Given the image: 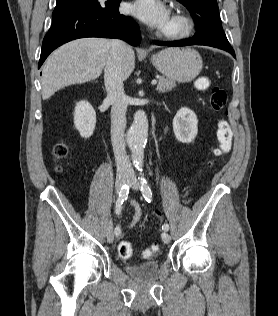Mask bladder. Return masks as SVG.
Masks as SVG:
<instances>
[{
	"instance_id": "bladder-1",
	"label": "bladder",
	"mask_w": 278,
	"mask_h": 316,
	"mask_svg": "<svg viewBox=\"0 0 278 316\" xmlns=\"http://www.w3.org/2000/svg\"><path fill=\"white\" fill-rule=\"evenodd\" d=\"M159 266V261L152 259L140 264H126L124 269L127 273L136 278L145 279L156 275L159 270Z\"/></svg>"
}]
</instances>
